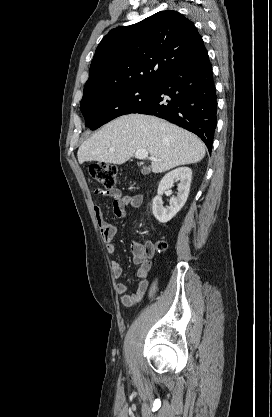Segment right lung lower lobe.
Masks as SVG:
<instances>
[{
  "instance_id": "obj_1",
  "label": "right lung lower lobe",
  "mask_w": 272,
  "mask_h": 417,
  "mask_svg": "<svg viewBox=\"0 0 272 417\" xmlns=\"http://www.w3.org/2000/svg\"><path fill=\"white\" fill-rule=\"evenodd\" d=\"M205 47L155 82L151 99L132 113L166 119L198 135L211 152L217 124L216 92Z\"/></svg>"
}]
</instances>
